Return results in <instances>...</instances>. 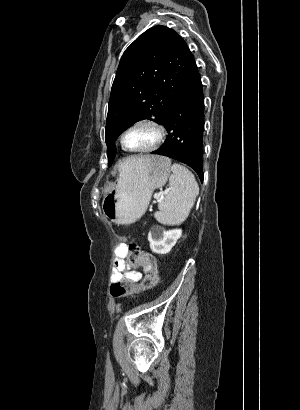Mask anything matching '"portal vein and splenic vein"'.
I'll return each mask as SVG.
<instances>
[{"instance_id": "1", "label": "portal vein and splenic vein", "mask_w": 300, "mask_h": 410, "mask_svg": "<svg viewBox=\"0 0 300 410\" xmlns=\"http://www.w3.org/2000/svg\"><path fill=\"white\" fill-rule=\"evenodd\" d=\"M165 194H166V193H162V194L155 193V194H154V199L159 200V199H161V198L163 197V195H165Z\"/></svg>"}]
</instances>
